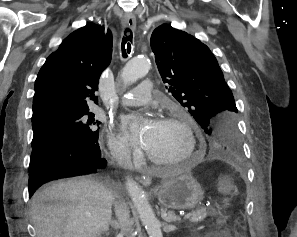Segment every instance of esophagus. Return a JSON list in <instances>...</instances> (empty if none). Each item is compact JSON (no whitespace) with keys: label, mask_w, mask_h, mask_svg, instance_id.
<instances>
[{"label":"esophagus","mask_w":297,"mask_h":237,"mask_svg":"<svg viewBox=\"0 0 297 237\" xmlns=\"http://www.w3.org/2000/svg\"><path fill=\"white\" fill-rule=\"evenodd\" d=\"M122 25H123V27H129L131 29H135V26H136L135 16L132 14L125 15L122 19ZM140 182L144 186H149L152 183L150 174L148 172H146V174L142 175L140 177Z\"/></svg>","instance_id":"1"}]
</instances>
